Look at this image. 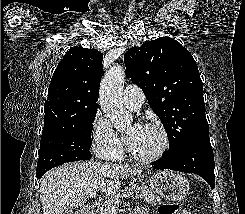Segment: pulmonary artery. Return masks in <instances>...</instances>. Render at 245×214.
Wrapping results in <instances>:
<instances>
[{"instance_id": "pulmonary-artery-1", "label": "pulmonary artery", "mask_w": 245, "mask_h": 214, "mask_svg": "<svg viewBox=\"0 0 245 214\" xmlns=\"http://www.w3.org/2000/svg\"><path fill=\"white\" fill-rule=\"evenodd\" d=\"M144 100L145 95L142 89L136 85L130 84L123 91L124 104L132 110L140 109Z\"/></svg>"}]
</instances>
